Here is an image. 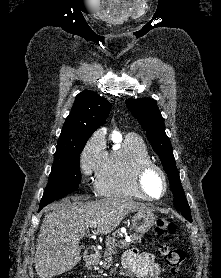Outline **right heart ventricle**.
<instances>
[{
	"mask_svg": "<svg viewBox=\"0 0 221 278\" xmlns=\"http://www.w3.org/2000/svg\"><path fill=\"white\" fill-rule=\"evenodd\" d=\"M144 160H151L146 143L138 135H127L122 146L107 152L95 178L97 191L107 197L144 199L133 183L134 168Z\"/></svg>",
	"mask_w": 221,
	"mask_h": 278,
	"instance_id": "obj_1",
	"label": "right heart ventricle"
}]
</instances>
